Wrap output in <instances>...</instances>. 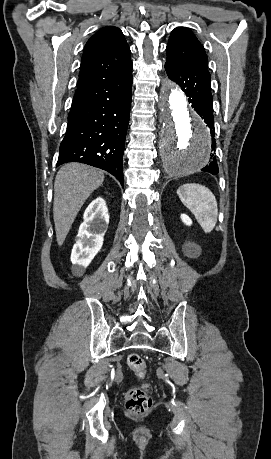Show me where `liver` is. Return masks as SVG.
I'll return each mask as SVG.
<instances>
[{
  "label": "liver",
  "instance_id": "1",
  "mask_svg": "<svg viewBox=\"0 0 271 459\" xmlns=\"http://www.w3.org/2000/svg\"><path fill=\"white\" fill-rule=\"evenodd\" d=\"M104 182L102 170L71 162L60 168L54 182L53 218L58 245H62L88 196Z\"/></svg>",
  "mask_w": 271,
  "mask_h": 459
}]
</instances>
